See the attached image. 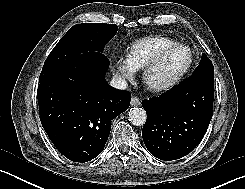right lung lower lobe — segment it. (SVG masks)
Listing matches in <instances>:
<instances>
[{
  "mask_svg": "<svg viewBox=\"0 0 245 189\" xmlns=\"http://www.w3.org/2000/svg\"><path fill=\"white\" fill-rule=\"evenodd\" d=\"M109 59L83 55L37 89L40 120L58 151L75 162L97 157L109 137L111 121L126 111L131 94L105 80Z\"/></svg>",
  "mask_w": 245,
  "mask_h": 189,
  "instance_id": "obj_1",
  "label": "right lung lower lobe"
}]
</instances>
